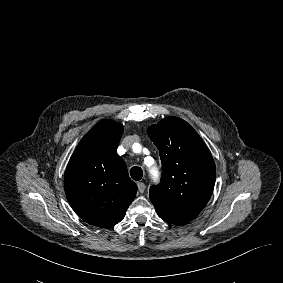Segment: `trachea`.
Here are the masks:
<instances>
[{
  "label": "trachea",
  "instance_id": "3493384b",
  "mask_svg": "<svg viewBox=\"0 0 283 283\" xmlns=\"http://www.w3.org/2000/svg\"><path fill=\"white\" fill-rule=\"evenodd\" d=\"M130 175H131L133 180L138 181V180H141V178L143 176V171L140 167L134 166L130 170Z\"/></svg>",
  "mask_w": 283,
  "mask_h": 283
}]
</instances>
